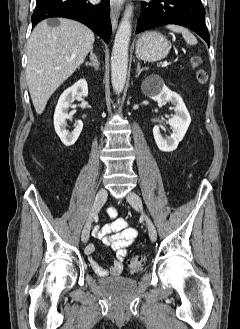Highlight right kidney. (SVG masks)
Listing matches in <instances>:
<instances>
[{
    "label": "right kidney",
    "instance_id": "right-kidney-1",
    "mask_svg": "<svg viewBox=\"0 0 240 329\" xmlns=\"http://www.w3.org/2000/svg\"><path fill=\"white\" fill-rule=\"evenodd\" d=\"M76 96L87 97L88 85L85 79H80L74 85L66 89L60 96L55 113L54 127L57 135L65 146L73 145L83 128L81 120L76 121L75 128L69 132L66 130L67 120L72 118L73 112L68 113L71 103L74 102Z\"/></svg>",
    "mask_w": 240,
    "mask_h": 329
}]
</instances>
